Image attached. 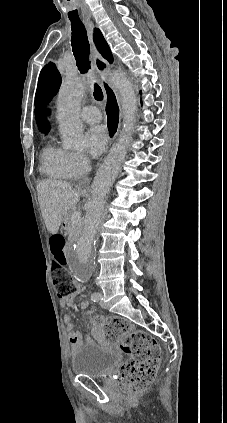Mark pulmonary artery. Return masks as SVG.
I'll use <instances>...</instances> for the list:
<instances>
[{"instance_id":"e3ab8cb5","label":"pulmonary artery","mask_w":227,"mask_h":423,"mask_svg":"<svg viewBox=\"0 0 227 423\" xmlns=\"http://www.w3.org/2000/svg\"><path fill=\"white\" fill-rule=\"evenodd\" d=\"M80 118L87 124H98L101 122L102 115L97 107L86 106L80 111Z\"/></svg>"}]
</instances>
